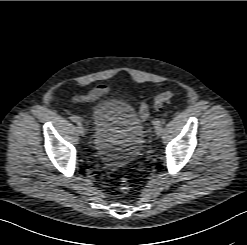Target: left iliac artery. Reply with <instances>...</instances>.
Segmentation results:
<instances>
[{
  "label": "left iliac artery",
  "mask_w": 247,
  "mask_h": 245,
  "mask_svg": "<svg viewBox=\"0 0 247 245\" xmlns=\"http://www.w3.org/2000/svg\"><path fill=\"white\" fill-rule=\"evenodd\" d=\"M162 124H163V121H161V120H156V121H154V125H155L156 127L162 126Z\"/></svg>",
  "instance_id": "obj_1"
}]
</instances>
